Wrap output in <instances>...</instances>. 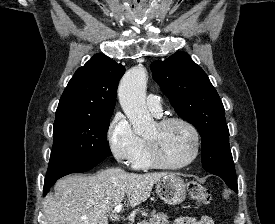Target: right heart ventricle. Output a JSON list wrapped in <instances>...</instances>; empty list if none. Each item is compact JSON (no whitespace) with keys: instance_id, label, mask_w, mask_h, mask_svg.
I'll return each instance as SVG.
<instances>
[{"instance_id":"1","label":"right heart ventricle","mask_w":275,"mask_h":224,"mask_svg":"<svg viewBox=\"0 0 275 224\" xmlns=\"http://www.w3.org/2000/svg\"><path fill=\"white\" fill-rule=\"evenodd\" d=\"M131 163L133 167L137 169H150L154 167L148 159L145 142L143 140L140 150L132 159Z\"/></svg>"}]
</instances>
